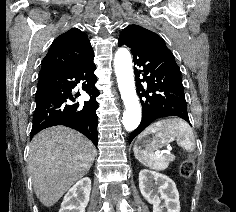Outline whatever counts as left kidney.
I'll list each match as a JSON object with an SVG mask.
<instances>
[{
  "mask_svg": "<svg viewBox=\"0 0 236 212\" xmlns=\"http://www.w3.org/2000/svg\"><path fill=\"white\" fill-rule=\"evenodd\" d=\"M139 188L142 196L153 205V212H162L164 207L167 212H180L178 190L166 175L143 169L139 173Z\"/></svg>",
  "mask_w": 236,
  "mask_h": 212,
  "instance_id": "1",
  "label": "left kidney"
}]
</instances>
